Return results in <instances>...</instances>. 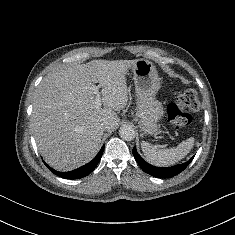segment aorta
Masks as SVG:
<instances>
[{
	"label": "aorta",
	"instance_id": "aorta-1",
	"mask_svg": "<svg viewBox=\"0 0 235 235\" xmlns=\"http://www.w3.org/2000/svg\"><path fill=\"white\" fill-rule=\"evenodd\" d=\"M119 135L123 140L132 141L135 138V130L130 125H124L120 128Z\"/></svg>",
	"mask_w": 235,
	"mask_h": 235
}]
</instances>
